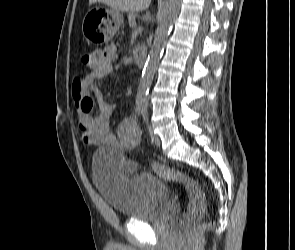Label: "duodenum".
<instances>
[{
  "label": "duodenum",
  "instance_id": "duodenum-1",
  "mask_svg": "<svg viewBox=\"0 0 295 250\" xmlns=\"http://www.w3.org/2000/svg\"><path fill=\"white\" fill-rule=\"evenodd\" d=\"M135 61L138 66H143L147 59V51L144 48L137 47L134 50Z\"/></svg>",
  "mask_w": 295,
  "mask_h": 250
}]
</instances>
